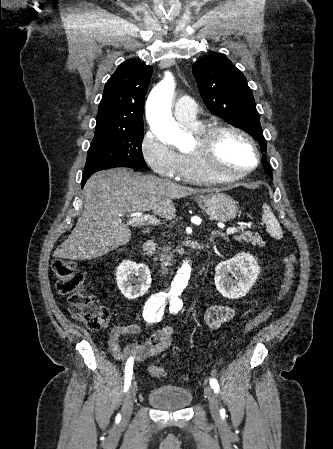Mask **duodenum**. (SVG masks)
Segmentation results:
<instances>
[{
	"mask_svg": "<svg viewBox=\"0 0 333 449\" xmlns=\"http://www.w3.org/2000/svg\"><path fill=\"white\" fill-rule=\"evenodd\" d=\"M155 249V243L153 241H147L142 246V253L146 256L151 255Z\"/></svg>",
	"mask_w": 333,
	"mask_h": 449,
	"instance_id": "duodenum-1",
	"label": "duodenum"
}]
</instances>
